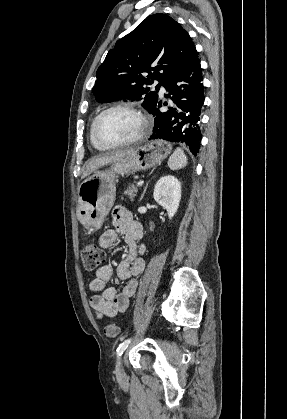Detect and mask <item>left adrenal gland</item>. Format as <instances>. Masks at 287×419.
Here are the masks:
<instances>
[{"instance_id": "a2214340", "label": "left adrenal gland", "mask_w": 287, "mask_h": 419, "mask_svg": "<svg viewBox=\"0 0 287 419\" xmlns=\"http://www.w3.org/2000/svg\"><path fill=\"white\" fill-rule=\"evenodd\" d=\"M147 186H148V183L146 184V186H145V188H144V191H143V193H142V195H141L140 201H141V200L143 199V197H144V194H145V192H146Z\"/></svg>"}]
</instances>
